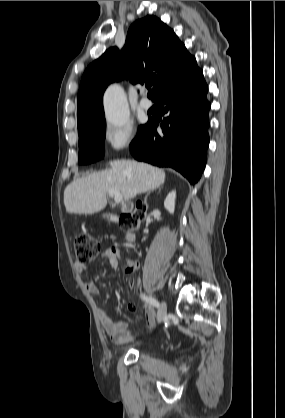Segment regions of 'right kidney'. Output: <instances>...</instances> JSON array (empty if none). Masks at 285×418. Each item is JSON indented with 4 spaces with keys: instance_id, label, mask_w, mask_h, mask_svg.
I'll return each mask as SVG.
<instances>
[{
    "instance_id": "1",
    "label": "right kidney",
    "mask_w": 285,
    "mask_h": 418,
    "mask_svg": "<svg viewBox=\"0 0 285 418\" xmlns=\"http://www.w3.org/2000/svg\"><path fill=\"white\" fill-rule=\"evenodd\" d=\"M175 199H176V191H171L165 201H164V207L167 211H169L171 214L174 213L175 210Z\"/></svg>"
}]
</instances>
